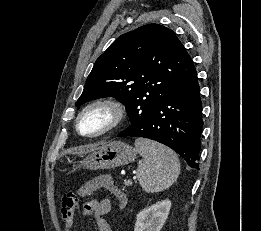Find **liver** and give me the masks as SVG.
Wrapping results in <instances>:
<instances>
[{
  "mask_svg": "<svg viewBox=\"0 0 261 231\" xmlns=\"http://www.w3.org/2000/svg\"><path fill=\"white\" fill-rule=\"evenodd\" d=\"M99 149L97 147V145H90V146H86V147H83V148H79L77 151L74 152V154H86V153H89V152H92V151H95Z\"/></svg>",
  "mask_w": 261,
  "mask_h": 231,
  "instance_id": "6515ba94",
  "label": "liver"
}]
</instances>
